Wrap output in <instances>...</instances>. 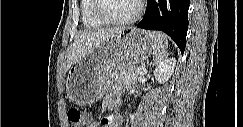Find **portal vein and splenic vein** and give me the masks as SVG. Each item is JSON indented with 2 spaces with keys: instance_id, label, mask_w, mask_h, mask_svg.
<instances>
[{
  "instance_id": "portal-vein-and-splenic-vein-1",
  "label": "portal vein and splenic vein",
  "mask_w": 243,
  "mask_h": 127,
  "mask_svg": "<svg viewBox=\"0 0 243 127\" xmlns=\"http://www.w3.org/2000/svg\"><path fill=\"white\" fill-rule=\"evenodd\" d=\"M141 74H144L146 72V69L145 67H140L139 70H138Z\"/></svg>"
}]
</instances>
